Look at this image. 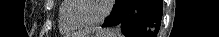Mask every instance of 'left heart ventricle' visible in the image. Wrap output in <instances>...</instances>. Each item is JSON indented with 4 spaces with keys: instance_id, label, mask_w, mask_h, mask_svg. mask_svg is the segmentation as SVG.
<instances>
[{
    "instance_id": "left-heart-ventricle-1",
    "label": "left heart ventricle",
    "mask_w": 219,
    "mask_h": 37,
    "mask_svg": "<svg viewBox=\"0 0 219 37\" xmlns=\"http://www.w3.org/2000/svg\"><path fill=\"white\" fill-rule=\"evenodd\" d=\"M77 8L72 17L78 22L91 21L98 18L104 9L102 0H76Z\"/></svg>"
}]
</instances>
